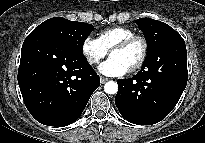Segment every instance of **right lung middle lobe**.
<instances>
[{
  "instance_id": "obj_1",
  "label": "right lung middle lobe",
  "mask_w": 205,
  "mask_h": 143,
  "mask_svg": "<svg viewBox=\"0 0 205 143\" xmlns=\"http://www.w3.org/2000/svg\"><path fill=\"white\" fill-rule=\"evenodd\" d=\"M93 30L91 24L54 17L41 23L31 33L49 36L83 54L84 41Z\"/></svg>"
}]
</instances>
